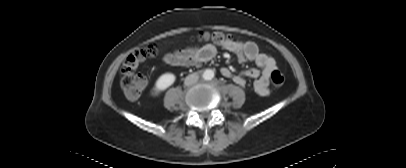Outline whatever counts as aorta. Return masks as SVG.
Masks as SVG:
<instances>
[{
	"instance_id": "1",
	"label": "aorta",
	"mask_w": 406,
	"mask_h": 168,
	"mask_svg": "<svg viewBox=\"0 0 406 168\" xmlns=\"http://www.w3.org/2000/svg\"><path fill=\"white\" fill-rule=\"evenodd\" d=\"M202 76L205 80H211L214 77V71L211 69H206Z\"/></svg>"
}]
</instances>
